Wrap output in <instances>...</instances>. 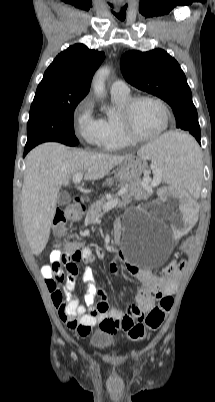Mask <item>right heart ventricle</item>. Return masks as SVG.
<instances>
[{"label": "right heart ventricle", "instance_id": "e07e8e85", "mask_svg": "<svg viewBox=\"0 0 215 402\" xmlns=\"http://www.w3.org/2000/svg\"><path fill=\"white\" fill-rule=\"evenodd\" d=\"M130 98V94H112V99L117 107V112L102 119L105 133L100 146L103 149L119 150L131 144V142L124 136L119 122L120 110Z\"/></svg>", "mask_w": 215, "mask_h": 402}]
</instances>
